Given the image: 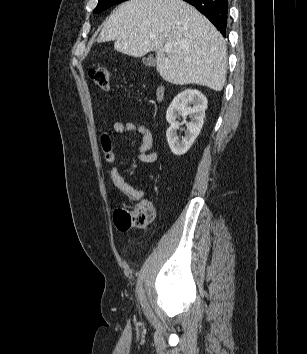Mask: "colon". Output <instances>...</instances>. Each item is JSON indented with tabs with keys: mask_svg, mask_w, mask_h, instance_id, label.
I'll return each mask as SVG.
<instances>
[{
	"mask_svg": "<svg viewBox=\"0 0 307 354\" xmlns=\"http://www.w3.org/2000/svg\"><path fill=\"white\" fill-rule=\"evenodd\" d=\"M91 80L103 90L111 86V72L107 66H98L89 71ZM153 216L152 206L146 201L125 205L115 210L114 221L120 230L143 227Z\"/></svg>",
	"mask_w": 307,
	"mask_h": 354,
	"instance_id": "5ec220e1",
	"label": "colon"
}]
</instances>
